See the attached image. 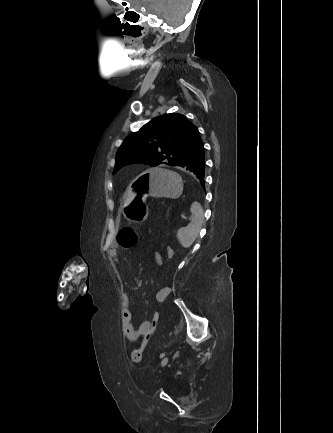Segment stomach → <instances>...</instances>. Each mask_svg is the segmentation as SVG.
Masks as SVG:
<instances>
[{
    "mask_svg": "<svg viewBox=\"0 0 333 433\" xmlns=\"http://www.w3.org/2000/svg\"><path fill=\"white\" fill-rule=\"evenodd\" d=\"M137 181L147 184L141 186L133 204L125 210V217L132 219L135 225L143 224L148 216V196L183 199L182 179L173 169H144L143 174H138ZM138 195H141V198H138Z\"/></svg>",
    "mask_w": 333,
    "mask_h": 433,
    "instance_id": "stomach-1",
    "label": "stomach"
}]
</instances>
